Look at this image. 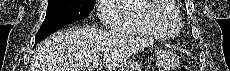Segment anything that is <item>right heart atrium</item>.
Wrapping results in <instances>:
<instances>
[{
	"instance_id": "right-heart-atrium-1",
	"label": "right heart atrium",
	"mask_w": 230,
	"mask_h": 71,
	"mask_svg": "<svg viewBox=\"0 0 230 71\" xmlns=\"http://www.w3.org/2000/svg\"><path fill=\"white\" fill-rule=\"evenodd\" d=\"M123 1L124 0H100L98 2V15L104 25L110 27L112 24V13L109 8Z\"/></svg>"
}]
</instances>
